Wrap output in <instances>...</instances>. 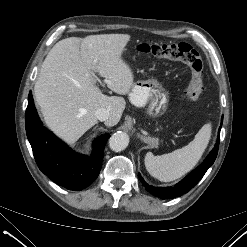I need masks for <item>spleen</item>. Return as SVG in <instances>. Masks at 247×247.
Wrapping results in <instances>:
<instances>
[{
	"mask_svg": "<svg viewBox=\"0 0 247 247\" xmlns=\"http://www.w3.org/2000/svg\"><path fill=\"white\" fill-rule=\"evenodd\" d=\"M211 123L205 124L188 145L164 155L145 156L147 171L154 178L169 182L176 180L192 170L201 159L211 138Z\"/></svg>",
	"mask_w": 247,
	"mask_h": 247,
	"instance_id": "obj_1",
	"label": "spleen"
}]
</instances>
